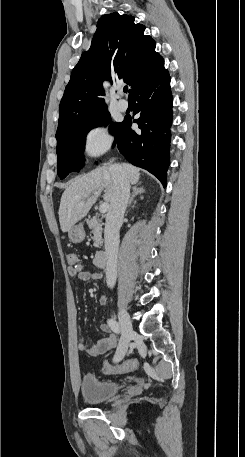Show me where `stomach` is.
I'll return each mask as SVG.
<instances>
[{
	"label": "stomach",
	"instance_id": "0dacf381",
	"mask_svg": "<svg viewBox=\"0 0 245 457\" xmlns=\"http://www.w3.org/2000/svg\"><path fill=\"white\" fill-rule=\"evenodd\" d=\"M68 237L72 243H81V241H84L85 231L83 229V224L71 226L70 231H68Z\"/></svg>",
	"mask_w": 245,
	"mask_h": 457
}]
</instances>
